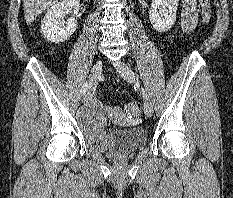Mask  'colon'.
<instances>
[{
  "mask_svg": "<svg viewBox=\"0 0 233 198\" xmlns=\"http://www.w3.org/2000/svg\"><path fill=\"white\" fill-rule=\"evenodd\" d=\"M201 8V19L202 22L207 24L211 20V1L210 0H199ZM127 114L131 118H137L140 115L141 108L140 104L137 102H129L125 106Z\"/></svg>",
  "mask_w": 233,
  "mask_h": 198,
  "instance_id": "5ec220e1",
  "label": "colon"
}]
</instances>
